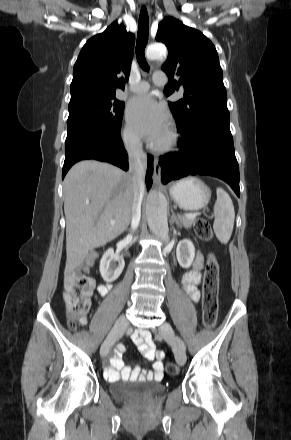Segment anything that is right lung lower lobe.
I'll list each match as a JSON object with an SVG mask.
<instances>
[{
	"mask_svg": "<svg viewBox=\"0 0 291 440\" xmlns=\"http://www.w3.org/2000/svg\"><path fill=\"white\" fill-rule=\"evenodd\" d=\"M65 141V161L62 179L71 166L85 159H95L114 164L128 170V155L120 138V126L102 129L91 125L77 124L67 128ZM153 157L148 155L146 185L152 184Z\"/></svg>",
	"mask_w": 291,
	"mask_h": 440,
	"instance_id": "98d812e1",
	"label": "right lung lower lobe"
}]
</instances>
